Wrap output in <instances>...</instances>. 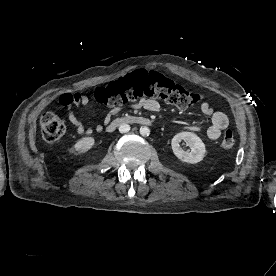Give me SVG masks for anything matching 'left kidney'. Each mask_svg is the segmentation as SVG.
Wrapping results in <instances>:
<instances>
[{
	"label": "left kidney",
	"instance_id": "5707ae66",
	"mask_svg": "<svg viewBox=\"0 0 276 276\" xmlns=\"http://www.w3.org/2000/svg\"><path fill=\"white\" fill-rule=\"evenodd\" d=\"M185 141L190 147V151H184L179 143ZM171 146L173 153L178 159L183 162L195 164L203 160L206 154V148L203 141L195 133L181 132L176 134L172 141Z\"/></svg>",
	"mask_w": 276,
	"mask_h": 276
}]
</instances>
